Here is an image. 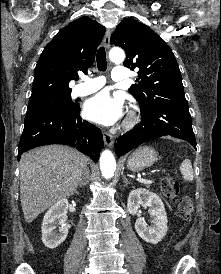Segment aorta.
<instances>
[{"label":"aorta","instance_id":"1","mask_svg":"<svg viewBox=\"0 0 221 274\" xmlns=\"http://www.w3.org/2000/svg\"><path fill=\"white\" fill-rule=\"evenodd\" d=\"M109 58L112 62L122 63L125 59V53L121 48H113L109 52ZM100 169L103 177L106 179L113 177L116 170V161L111 151L105 150L102 152L100 156Z\"/></svg>","mask_w":221,"mask_h":274}]
</instances>
